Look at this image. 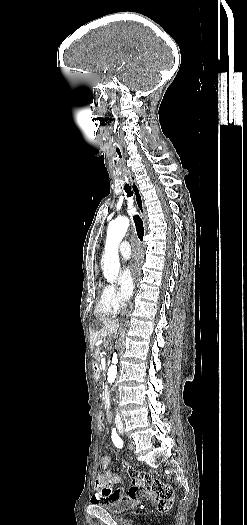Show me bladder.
<instances>
[{"instance_id": "obj_1", "label": "bladder", "mask_w": 247, "mask_h": 525, "mask_svg": "<svg viewBox=\"0 0 247 525\" xmlns=\"http://www.w3.org/2000/svg\"><path fill=\"white\" fill-rule=\"evenodd\" d=\"M99 506L110 515H119L128 513L133 507H130L122 499L112 502H102Z\"/></svg>"}]
</instances>
